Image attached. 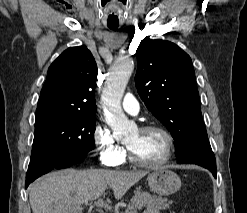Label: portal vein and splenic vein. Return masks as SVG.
Listing matches in <instances>:
<instances>
[{"instance_id":"obj_1","label":"portal vein and splenic vein","mask_w":247,"mask_h":213,"mask_svg":"<svg viewBox=\"0 0 247 213\" xmlns=\"http://www.w3.org/2000/svg\"><path fill=\"white\" fill-rule=\"evenodd\" d=\"M86 204H88V203H86ZM92 204H94L95 206L101 207V208H108L109 210H111V207L108 204H106L102 198H99L94 203H90V205H92Z\"/></svg>"}]
</instances>
